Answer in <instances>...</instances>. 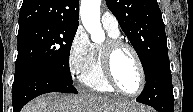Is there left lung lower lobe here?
<instances>
[{"label":"left lung lower lobe","instance_id":"left-lung-lower-lobe-1","mask_svg":"<svg viewBox=\"0 0 193 112\" xmlns=\"http://www.w3.org/2000/svg\"><path fill=\"white\" fill-rule=\"evenodd\" d=\"M136 101L150 105L158 112H173L174 96L168 53L156 63Z\"/></svg>","mask_w":193,"mask_h":112}]
</instances>
